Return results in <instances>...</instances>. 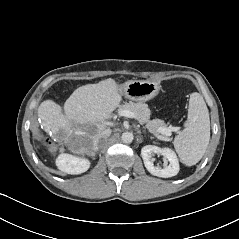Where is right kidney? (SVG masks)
<instances>
[{
  "instance_id": "1",
  "label": "right kidney",
  "mask_w": 239,
  "mask_h": 239,
  "mask_svg": "<svg viewBox=\"0 0 239 239\" xmlns=\"http://www.w3.org/2000/svg\"><path fill=\"white\" fill-rule=\"evenodd\" d=\"M56 165L67 174H81L88 170L90 162L85 158L62 153L57 157Z\"/></svg>"
}]
</instances>
